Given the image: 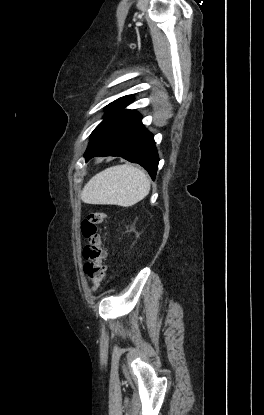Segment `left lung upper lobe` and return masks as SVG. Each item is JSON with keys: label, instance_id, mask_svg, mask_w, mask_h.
<instances>
[{"label": "left lung upper lobe", "instance_id": "left-lung-upper-lobe-1", "mask_svg": "<svg viewBox=\"0 0 264 415\" xmlns=\"http://www.w3.org/2000/svg\"><path fill=\"white\" fill-rule=\"evenodd\" d=\"M129 97H131V95L124 96V97H121V98H119V99H117V100L113 101L112 103H110L109 105H107V106H106V110H108V109H110L111 107L115 106L116 104H118V103H120V102L124 101L125 99H128Z\"/></svg>", "mask_w": 264, "mask_h": 415}]
</instances>
